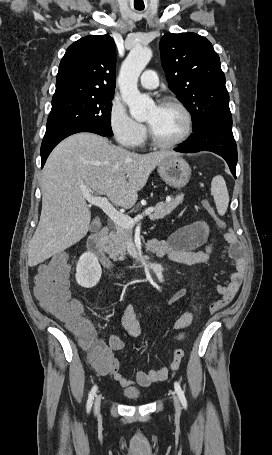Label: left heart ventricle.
Masks as SVG:
<instances>
[{"label": "left heart ventricle", "instance_id": "left-heart-ventricle-1", "mask_svg": "<svg viewBox=\"0 0 272 455\" xmlns=\"http://www.w3.org/2000/svg\"><path fill=\"white\" fill-rule=\"evenodd\" d=\"M145 122L154 135L161 141L170 142L177 139L184 131L185 119L174 106H154L146 115Z\"/></svg>", "mask_w": 272, "mask_h": 455}]
</instances>
